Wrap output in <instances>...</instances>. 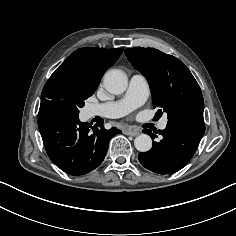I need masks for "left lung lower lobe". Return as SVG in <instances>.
<instances>
[{"label": "left lung lower lobe", "instance_id": "1", "mask_svg": "<svg viewBox=\"0 0 236 236\" xmlns=\"http://www.w3.org/2000/svg\"><path fill=\"white\" fill-rule=\"evenodd\" d=\"M143 132L151 136L153 146L139 153L140 163L155 173H175L188 164L200 143L205 132L203 114L185 113L168 119L164 130ZM157 133L160 141H156Z\"/></svg>", "mask_w": 236, "mask_h": 236}]
</instances>
